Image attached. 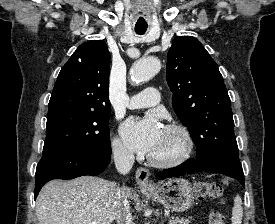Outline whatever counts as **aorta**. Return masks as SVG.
<instances>
[{"label":"aorta","instance_id":"1","mask_svg":"<svg viewBox=\"0 0 275 224\" xmlns=\"http://www.w3.org/2000/svg\"><path fill=\"white\" fill-rule=\"evenodd\" d=\"M160 68L161 63L157 58L151 57L138 60L131 67V81L134 84L148 81L159 72Z\"/></svg>","mask_w":275,"mask_h":224}]
</instances>
